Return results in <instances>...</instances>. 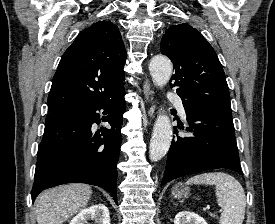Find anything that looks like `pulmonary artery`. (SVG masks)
I'll use <instances>...</instances> for the list:
<instances>
[{"label":"pulmonary artery","instance_id":"e3ab8cb5","mask_svg":"<svg viewBox=\"0 0 275 224\" xmlns=\"http://www.w3.org/2000/svg\"><path fill=\"white\" fill-rule=\"evenodd\" d=\"M167 98L170 101L174 102L181 116L185 117L186 114H185V109H184L182 99L175 93H168Z\"/></svg>","mask_w":275,"mask_h":224}]
</instances>
